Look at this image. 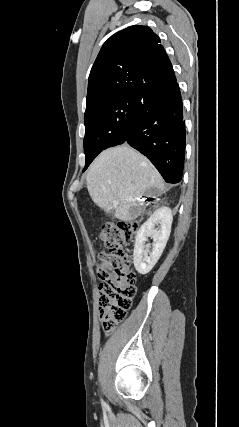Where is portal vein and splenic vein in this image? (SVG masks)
<instances>
[{"label":"portal vein and splenic vein","mask_w":239,"mask_h":427,"mask_svg":"<svg viewBox=\"0 0 239 427\" xmlns=\"http://www.w3.org/2000/svg\"><path fill=\"white\" fill-rule=\"evenodd\" d=\"M114 204H118V201H114Z\"/></svg>","instance_id":"1"}]
</instances>
